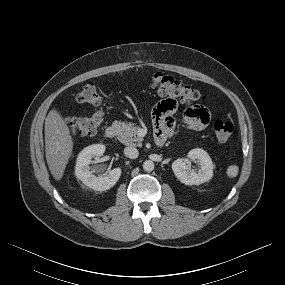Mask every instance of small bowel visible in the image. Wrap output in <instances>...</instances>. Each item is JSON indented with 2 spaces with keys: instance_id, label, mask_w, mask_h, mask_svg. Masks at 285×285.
Here are the masks:
<instances>
[{
  "instance_id": "small-bowel-1",
  "label": "small bowel",
  "mask_w": 285,
  "mask_h": 285,
  "mask_svg": "<svg viewBox=\"0 0 285 285\" xmlns=\"http://www.w3.org/2000/svg\"><path fill=\"white\" fill-rule=\"evenodd\" d=\"M180 110V101L172 95H165L153 109L152 121L157 137L172 134L175 128L173 116ZM184 120L191 130H203L210 122V114L205 107L191 106L184 111Z\"/></svg>"
}]
</instances>
